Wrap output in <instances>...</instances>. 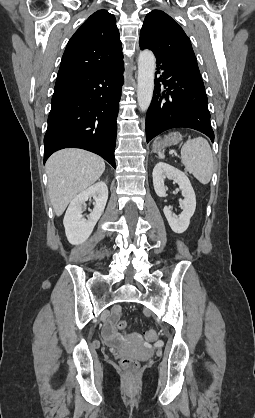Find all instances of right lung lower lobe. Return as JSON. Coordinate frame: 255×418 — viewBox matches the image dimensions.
<instances>
[{
  "instance_id": "right-lung-lower-lobe-1",
  "label": "right lung lower lobe",
  "mask_w": 255,
  "mask_h": 418,
  "mask_svg": "<svg viewBox=\"0 0 255 418\" xmlns=\"http://www.w3.org/2000/svg\"><path fill=\"white\" fill-rule=\"evenodd\" d=\"M124 63L58 77L44 137V162L57 150L96 153L114 168Z\"/></svg>"
}]
</instances>
